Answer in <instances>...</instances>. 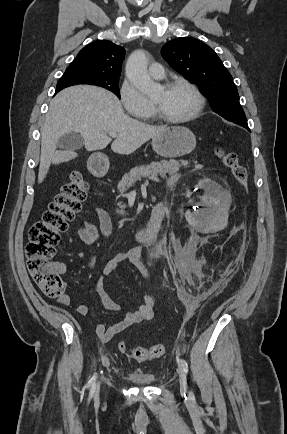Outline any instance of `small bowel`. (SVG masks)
<instances>
[{
  "label": "small bowel",
  "instance_id": "1",
  "mask_svg": "<svg viewBox=\"0 0 287 434\" xmlns=\"http://www.w3.org/2000/svg\"><path fill=\"white\" fill-rule=\"evenodd\" d=\"M178 178L179 175H172L169 179L170 185H174ZM162 203L164 204V212H166V203ZM95 212L100 222L102 234L100 235L97 228L89 221H85L78 229V235L81 240L91 247V255L88 261L89 269H92L95 263V247L100 241L108 238L112 232V221L109 213L102 207H96ZM142 252L141 247H135L128 251L119 252L111 257L104 265L101 275L99 276L92 292L97 293L101 297L104 306L108 310L119 311L120 305L106 292L104 288V280L111 276L122 263L129 262L139 268L145 276H150L149 270L143 262ZM53 267L59 273H64L66 271L64 263H56ZM157 300V295H143L142 303L138 309L127 313L123 319L112 325H107L106 323L98 324L95 329L96 335L102 343H107L133 324L150 320L153 316V310ZM58 302L61 305L68 306L71 303V297L69 294H64L58 299ZM75 312L80 316H86L88 314V307L85 304H78L75 307Z\"/></svg>",
  "mask_w": 287,
  "mask_h": 434
}]
</instances>
